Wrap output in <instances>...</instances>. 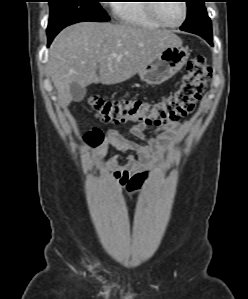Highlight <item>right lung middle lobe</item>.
<instances>
[{
    "mask_svg": "<svg viewBox=\"0 0 248 299\" xmlns=\"http://www.w3.org/2000/svg\"><path fill=\"white\" fill-rule=\"evenodd\" d=\"M100 0H49L50 16L47 27L48 44L64 27L81 21L105 22L108 15Z\"/></svg>",
    "mask_w": 248,
    "mask_h": 299,
    "instance_id": "right-lung-middle-lobe-1",
    "label": "right lung middle lobe"
}]
</instances>
